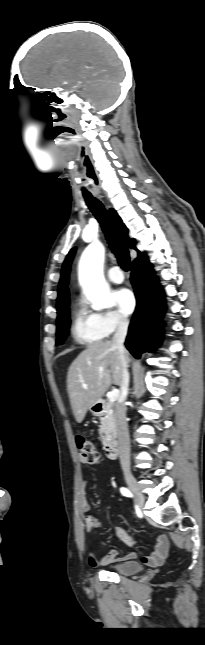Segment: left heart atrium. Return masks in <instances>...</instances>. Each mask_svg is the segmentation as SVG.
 Here are the masks:
<instances>
[{"label": "left heart atrium", "instance_id": "left-heart-atrium-1", "mask_svg": "<svg viewBox=\"0 0 205 645\" xmlns=\"http://www.w3.org/2000/svg\"><path fill=\"white\" fill-rule=\"evenodd\" d=\"M115 301L120 311L126 315L131 314L135 308L136 300L133 293L127 289L122 288L118 290L115 295Z\"/></svg>", "mask_w": 205, "mask_h": 645}]
</instances>
